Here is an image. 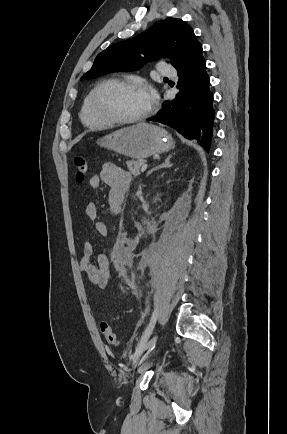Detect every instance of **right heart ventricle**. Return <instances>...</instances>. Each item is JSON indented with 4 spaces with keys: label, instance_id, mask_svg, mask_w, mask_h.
I'll return each mask as SVG.
<instances>
[{
    "label": "right heart ventricle",
    "instance_id": "e07e8e85",
    "mask_svg": "<svg viewBox=\"0 0 287 434\" xmlns=\"http://www.w3.org/2000/svg\"><path fill=\"white\" fill-rule=\"evenodd\" d=\"M93 90L94 89L89 91L82 101L81 108H80V119L86 126L101 127V126H104V124L101 121H99L98 119H96L92 115L91 110H90V98H91Z\"/></svg>",
    "mask_w": 287,
    "mask_h": 434
}]
</instances>
